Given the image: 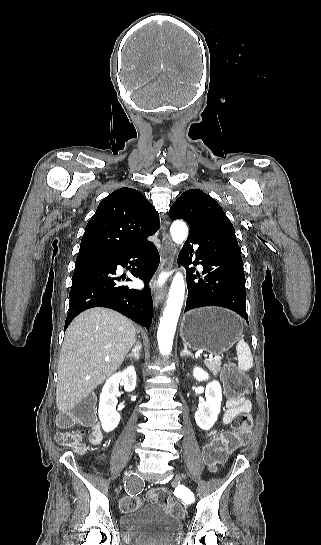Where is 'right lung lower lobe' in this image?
Segmentation results:
<instances>
[{"mask_svg": "<svg viewBox=\"0 0 321 545\" xmlns=\"http://www.w3.org/2000/svg\"><path fill=\"white\" fill-rule=\"evenodd\" d=\"M159 262L157 248L152 242L146 241L117 258L75 264L65 330L79 313L93 307L116 310L148 329L152 322L153 308L149 290L138 291L120 285L118 281L121 278L116 276V268L117 265L126 267L129 263L132 275L148 282Z\"/></svg>", "mask_w": 321, "mask_h": 545, "instance_id": "98d812e1", "label": "right lung lower lobe"}]
</instances>
